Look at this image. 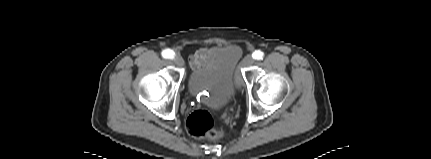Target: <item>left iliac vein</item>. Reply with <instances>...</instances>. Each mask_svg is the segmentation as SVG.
<instances>
[{
	"instance_id": "left-iliac-vein-1",
	"label": "left iliac vein",
	"mask_w": 431,
	"mask_h": 159,
	"mask_svg": "<svg viewBox=\"0 0 431 159\" xmlns=\"http://www.w3.org/2000/svg\"><path fill=\"white\" fill-rule=\"evenodd\" d=\"M254 63V58L251 55H247L243 61H242V65L244 66H250ZM243 86V80L241 78L237 79V87L241 88Z\"/></svg>"
}]
</instances>
